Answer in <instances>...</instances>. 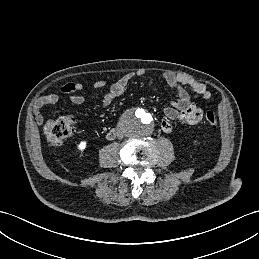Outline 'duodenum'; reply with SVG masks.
<instances>
[{
  "label": "duodenum",
  "instance_id": "obj_1",
  "mask_svg": "<svg viewBox=\"0 0 259 259\" xmlns=\"http://www.w3.org/2000/svg\"><path fill=\"white\" fill-rule=\"evenodd\" d=\"M116 136V132L115 131H112L108 134V137L109 138H114Z\"/></svg>",
  "mask_w": 259,
  "mask_h": 259
}]
</instances>
